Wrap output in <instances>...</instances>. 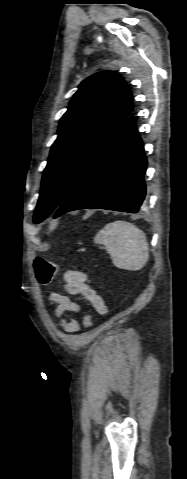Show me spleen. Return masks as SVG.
<instances>
[{"label": "spleen", "mask_w": 187, "mask_h": 479, "mask_svg": "<svg viewBox=\"0 0 187 479\" xmlns=\"http://www.w3.org/2000/svg\"><path fill=\"white\" fill-rule=\"evenodd\" d=\"M94 243L103 245L113 264L120 269L141 270L149 259L144 232L126 221L116 220L106 224L96 234Z\"/></svg>", "instance_id": "3e777b00"}]
</instances>
